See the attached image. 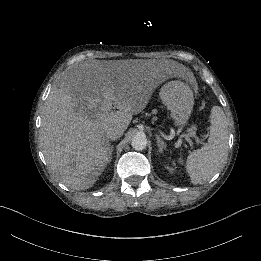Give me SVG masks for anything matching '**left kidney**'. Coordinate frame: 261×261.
I'll list each match as a JSON object with an SVG mask.
<instances>
[{
	"label": "left kidney",
	"mask_w": 261,
	"mask_h": 261,
	"mask_svg": "<svg viewBox=\"0 0 261 261\" xmlns=\"http://www.w3.org/2000/svg\"><path fill=\"white\" fill-rule=\"evenodd\" d=\"M173 164H175V163H173ZM167 169H168L169 172H173L174 171V168L169 167V166H167Z\"/></svg>",
	"instance_id": "left-kidney-1"
}]
</instances>
